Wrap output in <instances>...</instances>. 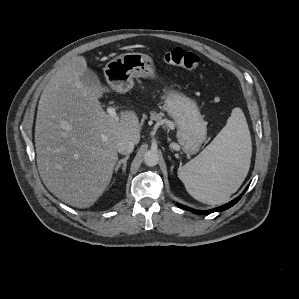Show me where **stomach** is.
<instances>
[{"mask_svg": "<svg viewBox=\"0 0 299 299\" xmlns=\"http://www.w3.org/2000/svg\"><path fill=\"white\" fill-rule=\"evenodd\" d=\"M107 83L118 92L133 87L134 78H154L155 67L150 56L140 52L120 54L103 69ZM164 109L174 119L177 140L187 155L195 154L206 139V122L196 102L180 92L169 90L164 96Z\"/></svg>", "mask_w": 299, "mask_h": 299, "instance_id": "0dacf381", "label": "stomach"}]
</instances>
